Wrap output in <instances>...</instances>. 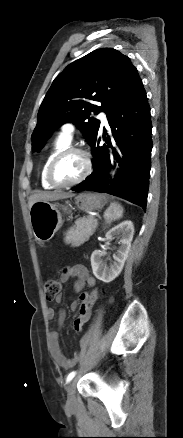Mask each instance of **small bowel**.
<instances>
[{
    "instance_id": "c3829d8e",
    "label": "small bowel",
    "mask_w": 183,
    "mask_h": 438,
    "mask_svg": "<svg viewBox=\"0 0 183 438\" xmlns=\"http://www.w3.org/2000/svg\"><path fill=\"white\" fill-rule=\"evenodd\" d=\"M72 278H76V281L73 284V292L79 293L82 291L84 286H94L95 279L89 274L88 269L83 265H75V266H69L65 267L62 270L60 280L62 283H66ZM82 294H88V292H84ZM81 294V295H82ZM80 295V300H81ZM56 302L60 303L63 300V297L61 294H59L56 297ZM80 305L77 301H73L70 305V308L72 310L79 309V315L75 318L73 321V330L75 332H80L85 325V323L90 319L91 312L87 316H81L80 315ZM47 315L50 320L57 319V322L59 326H62L65 318H66V311L64 309H61L58 313L53 308H49L47 310ZM51 352L54 362L63 368H70L76 363L75 358H67L58 342V333L53 332L51 335Z\"/></svg>"
}]
</instances>
